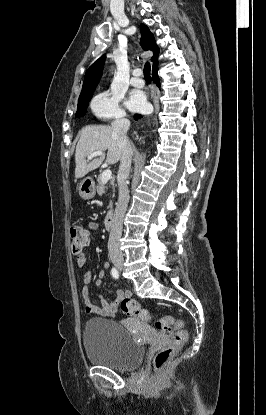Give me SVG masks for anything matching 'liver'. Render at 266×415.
Instances as JSON below:
<instances>
[{"mask_svg": "<svg viewBox=\"0 0 266 415\" xmlns=\"http://www.w3.org/2000/svg\"><path fill=\"white\" fill-rule=\"evenodd\" d=\"M80 139L75 152V178L84 177L90 171L97 169L105 159V155L86 161V157L95 151L107 152L106 163L115 164L120 160L121 150L116 137L113 134V127L108 125H87L79 132Z\"/></svg>", "mask_w": 266, "mask_h": 415, "instance_id": "1", "label": "liver"}]
</instances>
